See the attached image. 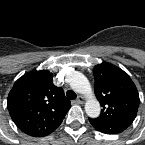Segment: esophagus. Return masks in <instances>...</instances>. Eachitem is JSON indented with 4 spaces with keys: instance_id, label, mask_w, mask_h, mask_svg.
I'll use <instances>...</instances> for the list:
<instances>
[{
    "instance_id": "34e87169",
    "label": "esophagus",
    "mask_w": 145,
    "mask_h": 145,
    "mask_svg": "<svg viewBox=\"0 0 145 145\" xmlns=\"http://www.w3.org/2000/svg\"><path fill=\"white\" fill-rule=\"evenodd\" d=\"M84 101H85L84 97H82V96H78V98L76 99L75 102L78 103V104H83Z\"/></svg>"
}]
</instances>
